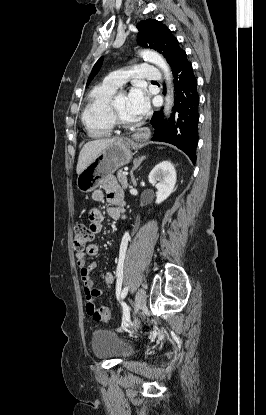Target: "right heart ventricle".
<instances>
[{
    "instance_id": "e07e8e85",
    "label": "right heart ventricle",
    "mask_w": 266,
    "mask_h": 415,
    "mask_svg": "<svg viewBox=\"0 0 266 415\" xmlns=\"http://www.w3.org/2000/svg\"><path fill=\"white\" fill-rule=\"evenodd\" d=\"M117 87L105 82L94 87L82 112V122L92 137L109 136L115 125L111 119L109 102Z\"/></svg>"
}]
</instances>
